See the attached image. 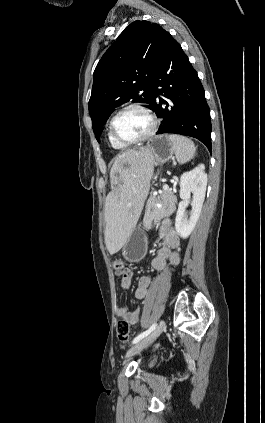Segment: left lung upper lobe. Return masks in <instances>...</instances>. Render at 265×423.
<instances>
[{
    "label": "left lung upper lobe",
    "instance_id": "left-lung-upper-lobe-1",
    "mask_svg": "<svg viewBox=\"0 0 265 423\" xmlns=\"http://www.w3.org/2000/svg\"><path fill=\"white\" fill-rule=\"evenodd\" d=\"M167 34L156 23L135 21L102 56L94 71L89 100L92 128L98 141L116 107L129 100L152 104L151 83Z\"/></svg>",
    "mask_w": 265,
    "mask_h": 423
}]
</instances>
